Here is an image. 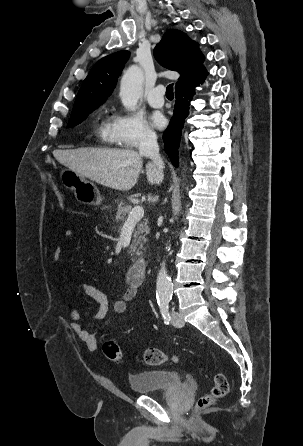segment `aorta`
<instances>
[{
    "label": "aorta",
    "mask_w": 303,
    "mask_h": 446,
    "mask_svg": "<svg viewBox=\"0 0 303 446\" xmlns=\"http://www.w3.org/2000/svg\"><path fill=\"white\" fill-rule=\"evenodd\" d=\"M144 75L140 67L133 65L127 69L121 79L120 98L124 107L134 110L143 93ZM167 249V246H166ZM173 292V284L163 262L156 281V297L159 301H169Z\"/></svg>",
    "instance_id": "aorta-1"
}]
</instances>
